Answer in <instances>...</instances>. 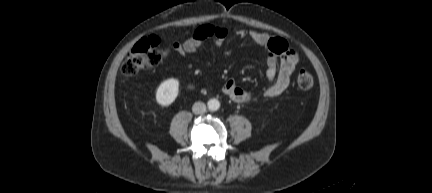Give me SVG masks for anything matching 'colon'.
<instances>
[{
  "label": "colon",
  "instance_id": "5ec220e1",
  "mask_svg": "<svg viewBox=\"0 0 432 193\" xmlns=\"http://www.w3.org/2000/svg\"><path fill=\"white\" fill-rule=\"evenodd\" d=\"M167 54L168 50L160 47L157 37L143 38L130 50L121 71L126 76L136 75L159 65ZM297 85L302 90H309L314 86V78L309 72L301 70L297 76Z\"/></svg>",
  "mask_w": 432,
  "mask_h": 193
}]
</instances>
